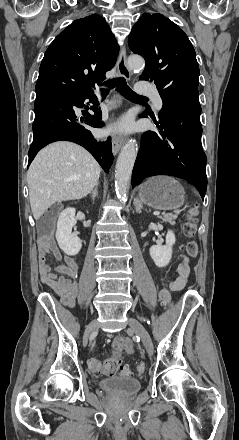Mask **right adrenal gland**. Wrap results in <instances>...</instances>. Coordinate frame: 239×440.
I'll list each match as a JSON object with an SVG mask.
<instances>
[{
    "label": "right adrenal gland",
    "mask_w": 239,
    "mask_h": 440,
    "mask_svg": "<svg viewBox=\"0 0 239 440\" xmlns=\"http://www.w3.org/2000/svg\"><path fill=\"white\" fill-rule=\"evenodd\" d=\"M91 194H92V198H96L98 194V184L97 186H95L94 190H92Z\"/></svg>",
    "instance_id": "obj_1"
}]
</instances>
